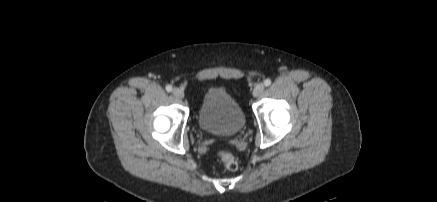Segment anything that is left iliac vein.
<instances>
[{
    "mask_svg": "<svg viewBox=\"0 0 437 202\" xmlns=\"http://www.w3.org/2000/svg\"><path fill=\"white\" fill-rule=\"evenodd\" d=\"M264 91V84L258 83L253 89V96L258 97Z\"/></svg>",
    "mask_w": 437,
    "mask_h": 202,
    "instance_id": "4c4485c4",
    "label": "left iliac vein"
}]
</instances>
